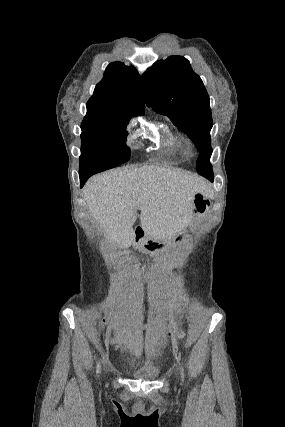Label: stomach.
<instances>
[{
	"mask_svg": "<svg viewBox=\"0 0 285 427\" xmlns=\"http://www.w3.org/2000/svg\"><path fill=\"white\" fill-rule=\"evenodd\" d=\"M211 208V200L203 193H196L193 197L192 211L193 216L202 217L206 215ZM190 238V231L185 227L181 232L166 240H159L153 236L144 239L139 247L151 254H157L168 248L180 246L187 242Z\"/></svg>",
	"mask_w": 285,
	"mask_h": 427,
	"instance_id": "1",
	"label": "stomach"
}]
</instances>
